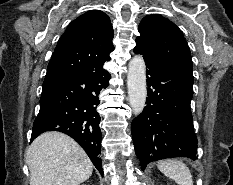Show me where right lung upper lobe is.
<instances>
[{
  "mask_svg": "<svg viewBox=\"0 0 233 185\" xmlns=\"http://www.w3.org/2000/svg\"><path fill=\"white\" fill-rule=\"evenodd\" d=\"M114 31L107 14L91 10L73 20L58 41L45 79L101 69L114 50Z\"/></svg>",
  "mask_w": 233,
  "mask_h": 185,
  "instance_id": "cb5924a9",
  "label": "right lung upper lobe"
}]
</instances>
